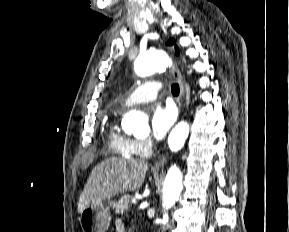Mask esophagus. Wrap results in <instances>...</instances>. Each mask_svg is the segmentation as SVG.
Masks as SVG:
<instances>
[{
	"label": "esophagus",
	"mask_w": 289,
	"mask_h": 232,
	"mask_svg": "<svg viewBox=\"0 0 289 232\" xmlns=\"http://www.w3.org/2000/svg\"><path fill=\"white\" fill-rule=\"evenodd\" d=\"M171 71H172L173 77L176 79V81L178 82L179 87H180V95H179L178 106H179V112L181 113L183 105H184V97H185L184 82H183V78L181 76L180 71L178 70V68L175 65L172 66ZM166 160H167V154L163 155L155 163L154 168L157 169V170L163 168L165 163H166Z\"/></svg>",
	"instance_id": "esophagus-1"
}]
</instances>
